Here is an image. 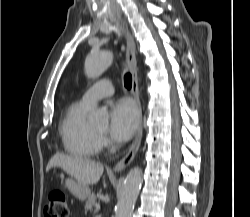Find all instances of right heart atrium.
Returning <instances> with one entry per match:
<instances>
[{
	"label": "right heart atrium",
	"mask_w": 250,
	"mask_h": 217,
	"mask_svg": "<svg viewBox=\"0 0 250 217\" xmlns=\"http://www.w3.org/2000/svg\"><path fill=\"white\" fill-rule=\"evenodd\" d=\"M99 141H100V146H101V147H105V146L107 145V140H106V138L100 137V138H99Z\"/></svg>",
	"instance_id": "obj_1"
}]
</instances>
